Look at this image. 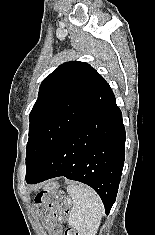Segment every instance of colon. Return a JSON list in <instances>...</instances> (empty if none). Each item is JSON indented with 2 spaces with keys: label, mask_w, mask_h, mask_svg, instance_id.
<instances>
[{
  "label": "colon",
  "mask_w": 155,
  "mask_h": 235,
  "mask_svg": "<svg viewBox=\"0 0 155 235\" xmlns=\"http://www.w3.org/2000/svg\"><path fill=\"white\" fill-rule=\"evenodd\" d=\"M37 215L44 221L49 222L52 219H62L69 212V201L60 194L43 190L35 197ZM52 230H56L52 226ZM65 235H80L78 232L70 229L65 232Z\"/></svg>",
  "instance_id": "5ec220e1"
}]
</instances>
